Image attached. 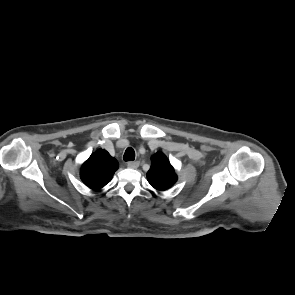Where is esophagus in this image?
Here are the masks:
<instances>
[{
	"instance_id": "obj_1",
	"label": "esophagus",
	"mask_w": 295,
	"mask_h": 295,
	"mask_svg": "<svg viewBox=\"0 0 295 295\" xmlns=\"http://www.w3.org/2000/svg\"><path fill=\"white\" fill-rule=\"evenodd\" d=\"M140 165L139 161H133V162H129L128 163V168H131V169H136L138 168Z\"/></svg>"
}]
</instances>
